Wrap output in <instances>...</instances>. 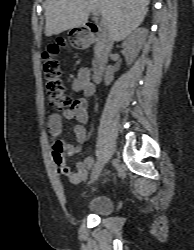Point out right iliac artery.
<instances>
[{
  "mask_svg": "<svg viewBox=\"0 0 194 250\" xmlns=\"http://www.w3.org/2000/svg\"><path fill=\"white\" fill-rule=\"evenodd\" d=\"M98 163V162H97ZM97 163L96 164H94V168H95V166L97 165Z\"/></svg>",
  "mask_w": 194,
  "mask_h": 250,
  "instance_id": "right-iliac-artery-1",
  "label": "right iliac artery"
}]
</instances>
